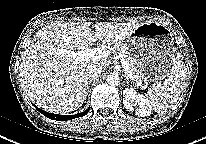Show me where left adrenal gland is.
<instances>
[{
  "label": "left adrenal gland",
  "mask_w": 206,
  "mask_h": 144,
  "mask_svg": "<svg viewBox=\"0 0 206 144\" xmlns=\"http://www.w3.org/2000/svg\"><path fill=\"white\" fill-rule=\"evenodd\" d=\"M126 77V81H127V84L131 83V81L129 80V78L127 76Z\"/></svg>",
  "instance_id": "a2214340"
}]
</instances>
